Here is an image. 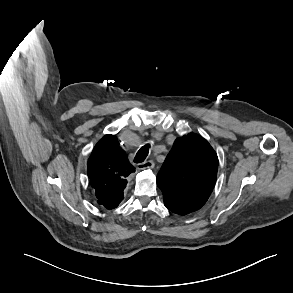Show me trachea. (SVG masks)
<instances>
[{
	"label": "trachea",
	"mask_w": 293,
	"mask_h": 293,
	"mask_svg": "<svg viewBox=\"0 0 293 293\" xmlns=\"http://www.w3.org/2000/svg\"><path fill=\"white\" fill-rule=\"evenodd\" d=\"M149 147H150V145L147 144V145L143 146V147L137 152V154H136V156H135V158H134V162H135V163H141V162H143V161L146 159V157H147V155H148V153H149Z\"/></svg>",
	"instance_id": "3493384b"
}]
</instances>
